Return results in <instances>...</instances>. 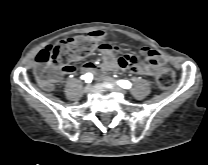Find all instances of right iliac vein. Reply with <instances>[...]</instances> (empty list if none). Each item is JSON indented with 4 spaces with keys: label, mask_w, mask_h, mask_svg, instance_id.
<instances>
[{
    "label": "right iliac vein",
    "mask_w": 208,
    "mask_h": 165,
    "mask_svg": "<svg viewBox=\"0 0 208 165\" xmlns=\"http://www.w3.org/2000/svg\"><path fill=\"white\" fill-rule=\"evenodd\" d=\"M91 88H92V86L90 84H88V85L85 86L84 91L86 93H88V92H90Z\"/></svg>",
    "instance_id": "right-iliac-vein-1"
}]
</instances>
